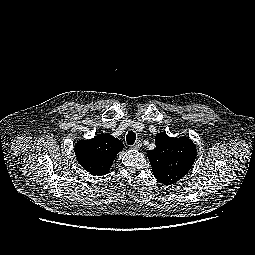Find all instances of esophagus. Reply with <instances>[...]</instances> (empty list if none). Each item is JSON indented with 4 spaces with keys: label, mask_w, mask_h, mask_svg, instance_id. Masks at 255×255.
I'll use <instances>...</instances> for the list:
<instances>
[{
    "label": "esophagus",
    "mask_w": 255,
    "mask_h": 255,
    "mask_svg": "<svg viewBox=\"0 0 255 255\" xmlns=\"http://www.w3.org/2000/svg\"><path fill=\"white\" fill-rule=\"evenodd\" d=\"M141 146H142L141 141H137V142L132 146V148H133L134 150H138V149L141 148Z\"/></svg>",
    "instance_id": "esophagus-1"
}]
</instances>
